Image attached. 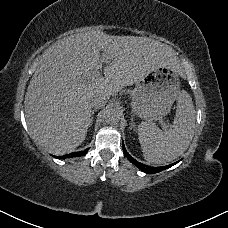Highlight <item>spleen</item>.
<instances>
[{"label": "spleen", "mask_w": 228, "mask_h": 228, "mask_svg": "<svg viewBox=\"0 0 228 228\" xmlns=\"http://www.w3.org/2000/svg\"><path fill=\"white\" fill-rule=\"evenodd\" d=\"M195 109L191 96L182 90L177 95V109L173 124L161 130L153 122L138 126L143 156L149 164L171 162L189 147L194 136Z\"/></svg>", "instance_id": "1"}]
</instances>
